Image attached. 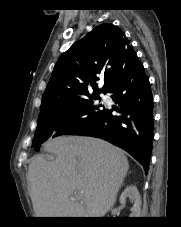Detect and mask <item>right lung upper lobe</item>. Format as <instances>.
<instances>
[{
    "mask_svg": "<svg viewBox=\"0 0 181 227\" xmlns=\"http://www.w3.org/2000/svg\"><path fill=\"white\" fill-rule=\"evenodd\" d=\"M134 56L122 30L113 24L97 26L59 57L43 93L40 110L91 94L106 93ZM99 74L104 75L101 90L97 84Z\"/></svg>",
    "mask_w": 181,
    "mask_h": 227,
    "instance_id": "1",
    "label": "right lung upper lobe"
}]
</instances>
